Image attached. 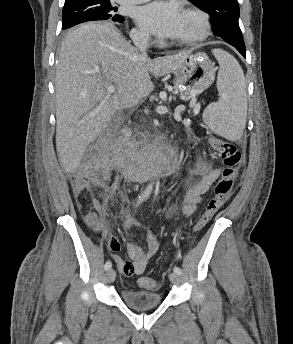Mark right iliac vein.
Here are the masks:
<instances>
[{"instance_id": "obj_1", "label": "right iliac vein", "mask_w": 293, "mask_h": 344, "mask_svg": "<svg viewBox=\"0 0 293 344\" xmlns=\"http://www.w3.org/2000/svg\"><path fill=\"white\" fill-rule=\"evenodd\" d=\"M115 277H116V272H115V270H114V269H109V270L107 271V273H106L107 281H108L109 283H112V282H114Z\"/></svg>"}]
</instances>
